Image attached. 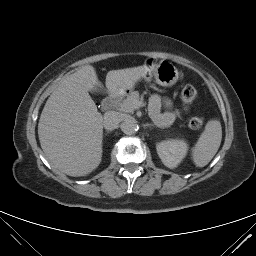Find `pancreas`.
<instances>
[{"label": "pancreas", "mask_w": 256, "mask_h": 256, "mask_svg": "<svg viewBox=\"0 0 256 256\" xmlns=\"http://www.w3.org/2000/svg\"><path fill=\"white\" fill-rule=\"evenodd\" d=\"M139 93L137 91L131 92L126 99L119 102L116 109L120 112L133 113L139 103Z\"/></svg>", "instance_id": "pancreas-1"}]
</instances>
